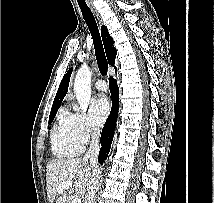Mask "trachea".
Instances as JSON below:
<instances>
[{
  "mask_svg": "<svg viewBox=\"0 0 214 203\" xmlns=\"http://www.w3.org/2000/svg\"><path fill=\"white\" fill-rule=\"evenodd\" d=\"M83 18L89 28V31L92 35L93 44L95 48V55L98 64V68L101 74L107 75L108 63L105 56L103 44L101 41L99 29L93 13L85 3H79Z\"/></svg>",
  "mask_w": 214,
  "mask_h": 203,
  "instance_id": "obj_1",
  "label": "trachea"
}]
</instances>
